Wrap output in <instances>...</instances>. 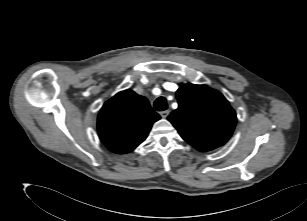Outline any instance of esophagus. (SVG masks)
Listing matches in <instances>:
<instances>
[{
	"label": "esophagus",
	"mask_w": 307,
	"mask_h": 221,
	"mask_svg": "<svg viewBox=\"0 0 307 221\" xmlns=\"http://www.w3.org/2000/svg\"><path fill=\"white\" fill-rule=\"evenodd\" d=\"M170 111L169 110H164L160 112V115L162 118H166L169 115Z\"/></svg>",
	"instance_id": "1"
}]
</instances>
